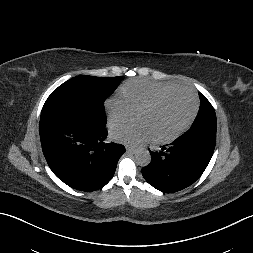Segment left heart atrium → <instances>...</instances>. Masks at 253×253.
Wrapping results in <instances>:
<instances>
[{
    "label": "left heart atrium",
    "instance_id": "obj_1",
    "mask_svg": "<svg viewBox=\"0 0 253 253\" xmlns=\"http://www.w3.org/2000/svg\"><path fill=\"white\" fill-rule=\"evenodd\" d=\"M111 137L119 143L136 145L154 136L149 125L140 122L137 124H114L111 128Z\"/></svg>",
    "mask_w": 253,
    "mask_h": 253
}]
</instances>
